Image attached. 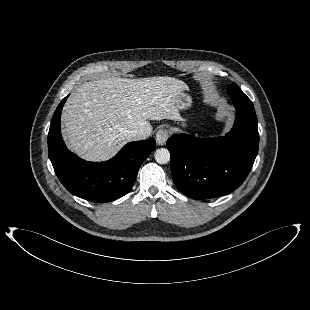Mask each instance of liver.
Instances as JSON below:
<instances>
[{
  "mask_svg": "<svg viewBox=\"0 0 310 310\" xmlns=\"http://www.w3.org/2000/svg\"><path fill=\"white\" fill-rule=\"evenodd\" d=\"M184 90L186 83L168 76L83 83L62 112L68 147L86 160L109 159L131 141L128 131L138 129L148 137V120L180 119L177 99Z\"/></svg>",
  "mask_w": 310,
  "mask_h": 310,
  "instance_id": "obj_1",
  "label": "liver"
}]
</instances>
